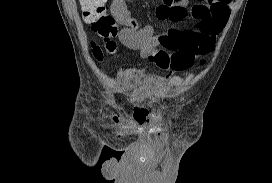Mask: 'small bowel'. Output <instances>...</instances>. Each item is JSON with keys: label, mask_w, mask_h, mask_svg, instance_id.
<instances>
[{"label": "small bowel", "mask_w": 272, "mask_h": 183, "mask_svg": "<svg viewBox=\"0 0 272 183\" xmlns=\"http://www.w3.org/2000/svg\"><path fill=\"white\" fill-rule=\"evenodd\" d=\"M233 0H203L189 10L192 23L186 24L188 0H161L156 13L169 27L154 34L149 24L139 22L127 12L123 28L117 33L120 42L143 58H152L159 51L168 54L173 70H185L204 54L212 51L217 35L224 29ZM113 120L129 119L143 124L145 115L135 111L131 115L114 114Z\"/></svg>", "instance_id": "c3829d8e"}]
</instances>
